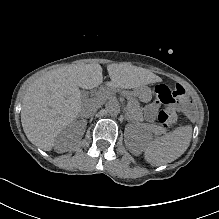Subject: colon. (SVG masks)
<instances>
[{"instance_id":"colon-1","label":"colon","mask_w":219,"mask_h":219,"mask_svg":"<svg viewBox=\"0 0 219 219\" xmlns=\"http://www.w3.org/2000/svg\"><path fill=\"white\" fill-rule=\"evenodd\" d=\"M172 97L174 101L175 99H178L180 101L187 99V94L184 87L177 84L172 92ZM176 119V109L172 104H169L167 108L160 111L158 114V121L160 125L165 129L172 127L175 124Z\"/></svg>"}]
</instances>
